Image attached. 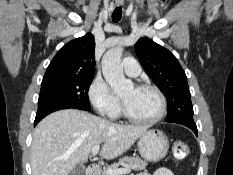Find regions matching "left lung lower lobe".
Returning a JSON list of instances; mask_svg holds the SVG:
<instances>
[{"mask_svg":"<svg viewBox=\"0 0 233 175\" xmlns=\"http://www.w3.org/2000/svg\"><path fill=\"white\" fill-rule=\"evenodd\" d=\"M173 123H178V124L186 126V127L190 128L197 135V126H196L195 122L176 121Z\"/></svg>","mask_w":233,"mask_h":175,"instance_id":"0a47b994","label":"left lung lower lobe"}]
</instances>
